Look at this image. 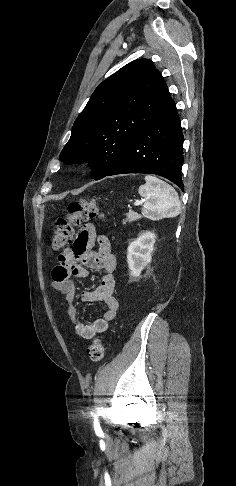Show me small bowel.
<instances>
[{
	"label": "small bowel",
	"mask_w": 236,
	"mask_h": 486,
	"mask_svg": "<svg viewBox=\"0 0 236 486\" xmlns=\"http://www.w3.org/2000/svg\"><path fill=\"white\" fill-rule=\"evenodd\" d=\"M98 250L93 251L94 244ZM116 268V258L111 252V244L105 235H99L92 223L85 224L76 236L71 247L66 248L58 256V265L52 271L53 288L64 295L67 314L70 317L74 333L84 339H92L104 333L109 323L114 320L119 304L114 296L115 279L113 272ZM89 269L103 270L105 275L96 289L81 292L83 302H102L106 309L102 316L91 323H84L77 317L74 306L76 296L73 278H84Z\"/></svg>",
	"instance_id": "c3829d8e"
}]
</instances>
